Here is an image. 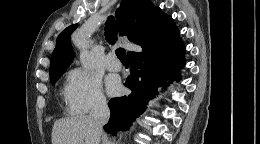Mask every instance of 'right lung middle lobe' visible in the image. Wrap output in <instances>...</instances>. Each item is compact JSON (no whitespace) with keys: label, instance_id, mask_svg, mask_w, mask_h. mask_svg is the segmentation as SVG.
<instances>
[{"label":"right lung middle lobe","instance_id":"right-lung-middle-lobe-1","mask_svg":"<svg viewBox=\"0 0 260 144\" xmlns=\"http://www.w3.org/2000/svg\"><path fill=\"white\" fill-rule=\"evenodd\" d=\"M64 72H65V70H62V71H58L56 73L50 74V81H51V83L54 85L55 81L58 78H60L63 75Z\"/></svg>","mask_w":260,"mask_h":144}]
</instances>
